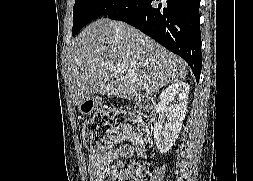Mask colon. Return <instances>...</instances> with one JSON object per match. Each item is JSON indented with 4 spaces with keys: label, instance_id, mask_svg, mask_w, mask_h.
<instances>
[{
    "label": "colon",
    "instance_id": "5ec220e1",
    "mask_svg": "<svg viewBox=\"0 0 253 181\" xmlns=\"http://www.w3.org/2000/svg\"><path fill=\"white\" fill-rule=\"evenodd\" d=\"M85 145L92 153L107 150L124 137L132 138L137 144L144 145L149 134L142 122L129 117L123 111L100 112L86 122L82 129ZM138 166L132 172L116 176L114 181H138Z\"/></svg>",
    "mask_w": 253,
    "mask_h": 181
}]
</instances>
